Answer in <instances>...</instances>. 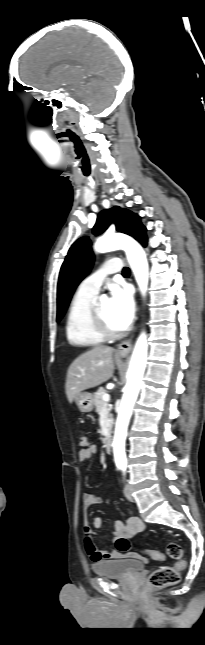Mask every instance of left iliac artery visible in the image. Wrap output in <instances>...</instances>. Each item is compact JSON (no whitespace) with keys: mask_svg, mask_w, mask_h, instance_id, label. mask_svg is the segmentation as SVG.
Here are the masks:
<instances>
[{"mask_svg":"<svg viewBox=\"0 0 205 645\" xmlns=\"http://www.w3.org/2000/svg\"><path fill=\"white\" fill-rule=\"evenodd\" d=\"M121 469L123 470V472H125V470H126V466H125V465H122V466H121Z\"/></svg>","mask_w":205,"mask_h":645,"instance_id":"obj_1","label":"left iliac artery"}]
</instances>
